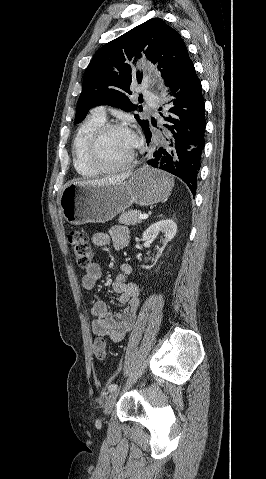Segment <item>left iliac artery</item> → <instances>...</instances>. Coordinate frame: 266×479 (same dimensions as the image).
I'll return each instance as SVG.
<instances>
[{
    "mask_svg": "<svg viewBox=\"0 0 266 479\" xmlns=\"http://www.w3.org/2000/svg\"><path fill=\"white\" fill-rule=\"evenodd\" d=\"M117 388H118V385H117V384H111V385L109 386V391L112 392V391H114V390H117Z\"/></svg>",
    "mask_w": 266,
    "mask_h": 479,
    "instance_id": "obj_1",
    "label": "left iliac artery"
}]
</instances>
